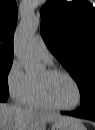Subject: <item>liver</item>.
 Segmentation results:
<instances>
[{"label": "liver", "mask_w": 95, "mask_h": 130, "mask_svg": "<svg viewBox=\"0 0 95 130\" xmlns=\"http://www.w3.org/2000/svg\"><path fill=\"white\" fill-rule=\"evenodd\" d=\"M65 118V116L54 112L0 104V130H45L47 123H55Z\"/></svg>", "instance_id": "obj_1"}]
</instances>
